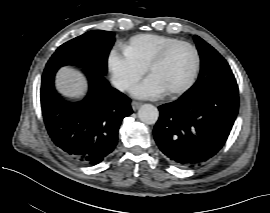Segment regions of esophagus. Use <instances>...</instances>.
<instances>
[{"label":"esophagus","mask_w":270,"mask_h":213,"mask_svg":"<svg viewBox=\"0 0 270 213\" xmlns=\"http://www.w3.org/2000/svg\"><path fill=\"white\" fill-rule=\"evenodd\" d=\"M131 105H132L133 110H137L142 105V103L138 101H132Z\"/></svg>","instance_id":"obj_1"}]
</instances>
